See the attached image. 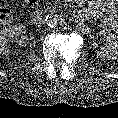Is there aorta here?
Here are the masks:
<instances>
[{
    "label": "aorta",
    "mask_w": 118,
    "mask_h": 118,
    "mask_svg": "<svg viewBox=\"0 0 118 118\" xmlns=\"http://www.w3.org/2000/svg\"><path fill=\"white\" fill-rule=\"evenodd\" d=\"M61 17L58 14H49L45 17V23L50 27H56L60 24Z\"/></svg>",
    "instance_id": "obj_1"
}]
</instances>
